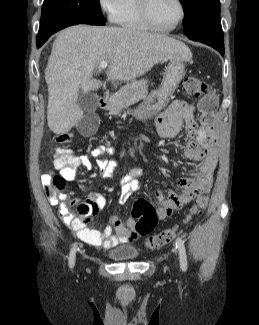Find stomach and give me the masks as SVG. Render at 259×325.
<instances>
[{
    "mask_svg": "<svg viewBox=\"0 0 259 325\" xmlns=\"http://www.w3.org/2000/svg\"><path fill=\"white\" fill-rule=\"evenodd\" d=\"M184 75L185 65L183 61L171 59L164 73L160 88L150 93L143 103L135 110L134 116L144 120L164 109L169 102L170 96L174 93ZM108 109L111 111V106H109Z\"/></svg>",
    "mask_w": 259,
    "mask_h": 325,
    "instance_id": "stomach-1",
    "label": "stomach"
}]
</instances>
